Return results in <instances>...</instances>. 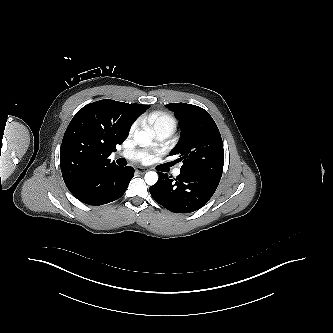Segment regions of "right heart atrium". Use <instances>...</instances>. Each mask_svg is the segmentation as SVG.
<instances>
[{"instance_id":"obj_1","label":"right heart atrium","mask_w":333,"mask_h":333,"mask_svg":"<svg viewBox=\"0 0 333 333\" xmlns=\"http://www.w3.org/2000/svg\"><path fill=\"white\" fill-rule=\"evenodd\" d=\"M135 127H136V123H134V124L131 126V128H130V132H131V133L134 131Z\"/></svg>"}]
</instances>
